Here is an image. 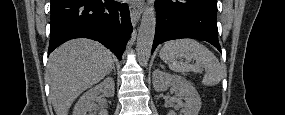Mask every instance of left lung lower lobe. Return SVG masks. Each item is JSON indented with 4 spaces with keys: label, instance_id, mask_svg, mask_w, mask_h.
<instances>
[{
    "label": "left lung lower lobe",
    "instance_id": "1",
    "mask_svg": "<svg viewBox=\"0 0 285 115\" xmlns=\"http://www.w3.org/2000/svg\"><path fill=\"white\" fill-rule=\"evenodd\" d=\"M156 30L152 52L162 42L181 38L207 41L220 52L217 0H156Z\"/></svg>",
    "mask_w": 285,
    "mask_h": 115
}]
</instances>
